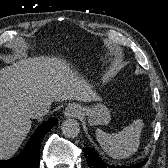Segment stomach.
<instances>
[{
  "label": "stomach",
  "instance_id": "0dacf381",
  "mask_svg": "<svg viewBox=\"0 0 168 168\" xmlns=\"http://www.w3.org/2000/svg\"><path fill=\"white\" fill-rule=\"evenodd\" d=\"M84 114L88 117V123L92 126L106 125L111 116L109 109L104 104H96L84 109Z\"/></svg>",
  "mask_w": 168,
  "mask_h": 168
}]
</instances>
